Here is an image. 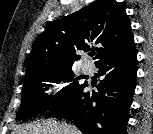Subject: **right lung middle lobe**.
<instances>
[{
  "label": "right lung middle lobe",
  "mask_w": 153,
  "mask_h": 134,
  "mask_svg": "<svg viewBox=\"0 0 153 134\" xmlns=\"http://www.w3.org/2000/svg\"><path fill=\"white\" fill-rule=\"evenodd\" d=\"M78 79H81V76L75 78L72 66L50 69L25 78L17 119L24 120L48 112L70 100L87 84H80ZM51 83L66 85L52 97L45 93L52 86Z\"/></svg>",
  "instance_id": "obj_1"
}]
</instances>
